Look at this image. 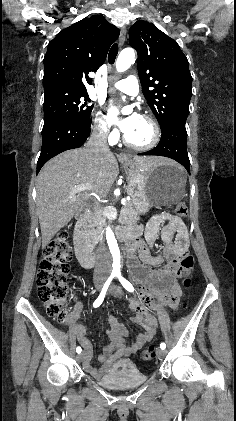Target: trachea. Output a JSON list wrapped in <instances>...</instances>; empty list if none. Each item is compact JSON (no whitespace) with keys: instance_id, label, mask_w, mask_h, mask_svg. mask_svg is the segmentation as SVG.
Here are the masks:
<instances>
[{"instance_id":"1","label":"trachea","mask_w":236,"mask_h":421,"mask_svg":"<svg viewBox=\"0 0 236 421\" xmlns=\"http://www.w3.org/2000/svg\"><path fill=\"white\" fill-rule=\"evenodd\" d=\"M118 51H119L118 44L114 43V45H112V47L110 48V51L108 54V61L111 65L115 62Z\"/></svg>"}]
</instances>
